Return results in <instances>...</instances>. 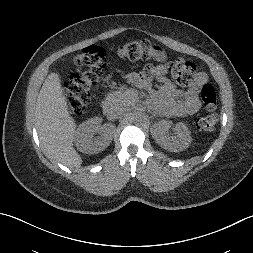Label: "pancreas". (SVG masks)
Instances as JSON below:
<instances>
[{
  "label": "pancreas",
  "mask_w": 253,
  "mask_h": 253,
  "mask_svg": "<svg viewBox=\"0 0 253 253\" xmlns=\"http://www.w3.org/2000/svg\"><path fill=\"white\" fill-rule=\"evenodd\" d=\"M130 92L126 88H120L117 91H112L107 96V101L111 103L129 104L131 101Z\"/></svg>",
  "instance_id": "cf45deb5"
}]
</instances>
